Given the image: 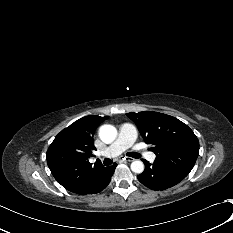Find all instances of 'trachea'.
Returning <instances> with one entry per match:
<instances>
[{"label":"trachea","mask_w":233,"mask_h":233,"mask_svg":"<svg viewBox=\"0 0 233 233\" xmlns=\"http://www.w3.org/2000/svg\"><path fill=\"white\" fill-rule=\"evenodd\" d=\"M127 156H130V157H133V158H136V159L141 157V155L139 153H137V152H129V153H127ZM103 163H104L105 166H108V165L112 164V161L109 158H105Z\"/></svg>","instance_id":"1"}]
</instances>
